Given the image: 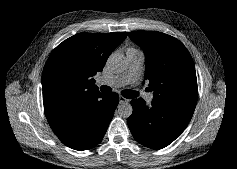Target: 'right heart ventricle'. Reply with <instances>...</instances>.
<instances>
[{"label":"right heart ventricle","instance_id":"obj_1","mask_svg":"<svg viewBox=\"0 0 237 169\" xmlns=\"http://www.w3.org/2000/svg\"><path fill=\"white\" fill-rule=\"evenodd\" d=\"M128 51H130V52H136L135 50H132V49H130V50H128Z\"/></svg>","mask_w":237,"mask_h":169}]
</instances>
